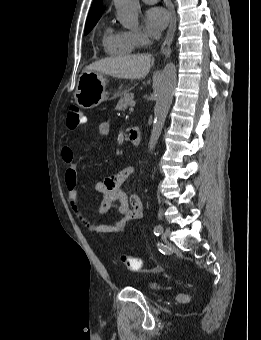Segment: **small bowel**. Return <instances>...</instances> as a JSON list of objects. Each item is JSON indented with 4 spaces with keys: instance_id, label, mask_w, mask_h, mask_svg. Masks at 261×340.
Here are the masks:
<instances>
[{
    "instance_id": "1",
    "label": "small bowel",
    "mask_w": 261,
    "mask_h": 340,
    "mask_svg": "<svg viewBox=\"0 0 261 340\" xmlns=\"http://www.w3.org/2000/svg\"><path fill=\"white\" fill-rule=\"evenodd\" d=\"M109 133V122L104 121L98 124V136L107 137ZM61 157L67 164L65 181L69 204L74 215L84 228L96 234L118 233L128 224L142 217V202L139 196L136 194L128 196L121 188L122 184L134 172L133 167H126L116 174L95 183V191L102 196L101 203L98 207V213L105 214L110 210L113 203H117L118 212L121 214L120 219L115 222L96 223L85 212L78 197L77 173L74 164L73 149L68 145L63 146L61 149Z\"/></svg>"
}]
</instances>
